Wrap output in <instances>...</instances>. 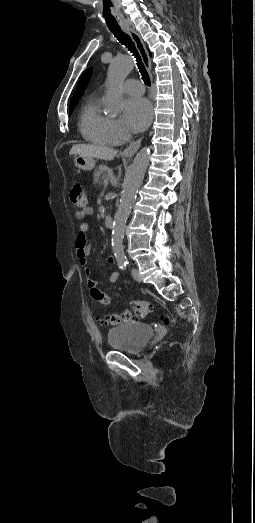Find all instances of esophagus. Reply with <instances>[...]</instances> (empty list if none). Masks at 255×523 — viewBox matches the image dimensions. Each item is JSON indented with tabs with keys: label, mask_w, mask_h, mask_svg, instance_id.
Returning <instances> with one entry per match:
<instances>
[{
	"label": "esophagus",
	"mask_w": 255,
	"mask_h": 523,
	"mask_svg": "<svg viewBox=\"0 0 255 523\" xmlns=\"http://www.w3.org/2000/svg\"><path fill=\"white\" fill-rule=\"evenodd\" d=\"M123 30L131 37V39L135 43V46L142 58V62L144 64V66L146 67V70H148V73L150 75L151 84H153L152 64H151L149 54L146 50V47H145L143 41L139 37L138 33H136L133 29L123 28ZM153 118H154V107L151 108V121L153 120ZM142 139H143V137H140L138 140H136V142L131 143V145H129V147L125 148V150L123 151L124 155H127V156L134 155L136 153V151L138 150V148L140 147Z\"/></svg>",
	"instance_id": "34e87169"
}]
</instances>
